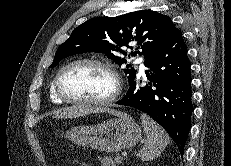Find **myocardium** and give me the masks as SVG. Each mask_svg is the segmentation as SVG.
Returning a JSON list of instances; mask_svg holds the SVG:
<instances>
[{"instance_id": "obj_1", "label": "myocardium", "mask_w": 231, "mask_h": 166, "mask_svg": "<svg viewBox=\"0 0 231 166\" xmlns=\"http://www.w3.org/2000/svg\"><path fill=\"white\" fill-rule=\"evenodd\" d=\"M79 64H93L100 66L104 68L112 77L113 79V89L111 93L104 97L99 99H74L66 96L64 92L61 89L60 86V78L64 71H66L68 68L79 65ZM54 89L57 94V96L64 102L75 104V105H81V106H106L113 102H115L118 97L120 96L121 90H122V82L121 78L119 76V73L115 69V67L109 63L106 60L100 59V58H79L75 59L73 61H70L69 63L65 64L63 67L60 68V70L57 72L55 78H54Z\"/></svg>"}]
</instances>
